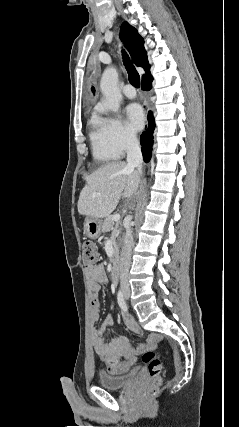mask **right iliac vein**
Segmentation results:
<instances>
[{"instance_id": "obj_1", "label": "right iliac vein", "mask_w": 239, "mask_h": 427, "mask_svg": "<svg viewBox=\"0 0 239 427\" xmlns=\"http://www.w3.org/2000/svg\"><path fill=\"white\" fill-rule=\"evenodd\" d=\"M124 295L127 297L129 295V291H125Z\"/></svg>"}]
</instances>
